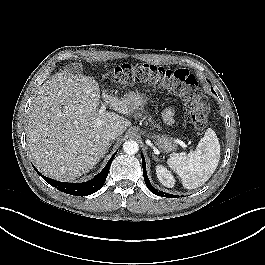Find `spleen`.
<instances>
[{"mask_svg":"<svg viewBox=\"0 0 265 265\" xmlns=\"http://www.w3.org/2000/svg\"><path fill=\"white\" fill-rule=\"evenodd\" d=\"M219 160V140L215 132L208 128L195 151L187 155L171 156L167 164L181 178L184 188L195 189L212 176Z\"/></svg>","mask_w":265,"mask_h":265,"instance_id":"spleen-1","label":"spleen"}]
</instances>
